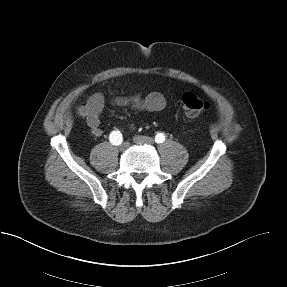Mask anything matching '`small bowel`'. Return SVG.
<instances>
[{"label":"small bowel","instance_id":"obj_1","mask_svg":"<svg viewBox=\"0 0 287 287\" xmlns=\"http://www.w3.org/2000/svg\"><path fill=\"white\" fill-rule=\"evenodd\" d=\"M115 104L118 106L131 107L138 111L159 112L165 108L166 101L162 94L152 92L147 95L140 93L117 97ZM105 106V98L101 93L93 94L85 105L84 117L91 133L96 136L103 135L101 127V114Z\"/></svg>","mask_w":287,"mask_h":287}]
</instances>
